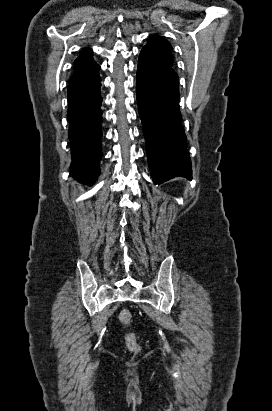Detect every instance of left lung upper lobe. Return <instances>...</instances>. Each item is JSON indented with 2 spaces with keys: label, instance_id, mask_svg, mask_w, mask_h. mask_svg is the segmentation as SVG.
<instances>
[{
  "label": "left lung upper lobe",
  "instance_id": "5c2ea615",
  "mask_svg": "<svg viewBox=\"0 0 272 411\" xmlns=\"http://www.w3.org/2000/svg\"><path fill=\"white\" fill-rule=\"evenodd\" d=\"M143 49L151 52L162 62L174 67V58L172 55V46L162 36L153 35L148 38L147 44Z\"/></svg>",
  "mask_w": 272,
  "mask_h": 411
}]
</instances>
